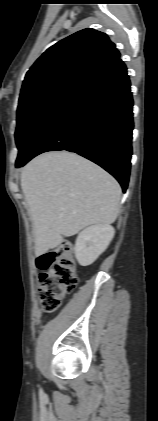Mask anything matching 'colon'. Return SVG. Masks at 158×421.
Instances as JSON below:
<instances>
[{"instance_id": "colon-1", "label": "colon", "mask_w": 158, "mask_h": 421, "mask_svg": "<svg viewBox=\"0 0 158 421\" xmlns=\"http://www.w3.org/2000/svg\"><path fill=\"white\" fill-rule=\"evenodd\" d=\"M37 266L42 270L38 288L41 306L46 312H53L78 284L71 245L65 243L39 255Z\"/></svg>"}]
</instances>
